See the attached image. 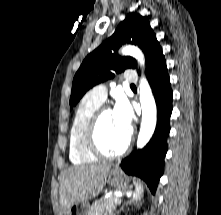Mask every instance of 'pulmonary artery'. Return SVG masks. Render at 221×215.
<instances>
[{"label":"pulmonary artery","instance_id":"obj_1","mask_svg":"<svg viewBox=\"0 0 221 215\" xmlns=\"http://www.w3.org/2000/svg\"><path fill=\"white\" fill-rule=\"evenodd\" d=\"M124 81L126 83H135L137 82V75L134 71H127L124 75ZM94 99L104 102L107 97V89L103 85H98L94 87L89 93Z\"/></svg>","mask_w":221,"mask_h":215}]
</instances>
